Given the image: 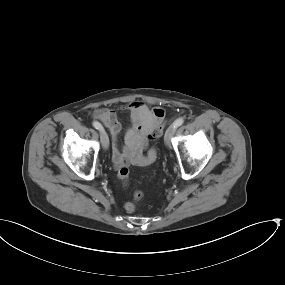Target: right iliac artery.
Listing matches in <instances>:
<instances>
[{
  "label": "right iliac artery",
  "instance_id": "1",
  "mask_svg": "<svg viewBox=\"0 0 285 285\" xmlns=\"http://www.w3.org/2000/svg\"><path fill=\"white\" fill-rule=\"evenodd\" d=\"M93 126H94L96 129H98V130H100V129L103 128L102 125H101L99 122H97V121H94V122H93Z\"/></svg>",
  "mask_w": 285,
  "mask_h": 285
}]
</instances>
